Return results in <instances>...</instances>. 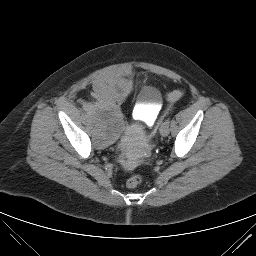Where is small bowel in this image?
<instances>
[{"mask_svg":"<svg viewBox=\"0 0 256 256\" xmlns=\"http://www.w3.org/2000/svg\"><path fill=\"white\" fill-rule=\"evenodd\" d=\"M99 85H100V82L97 83V86H99Z\"/></svg>","mask_w":256,"mask_h":256,"instance_id":"obj_1","label":"small bowel"}]
</instances>
